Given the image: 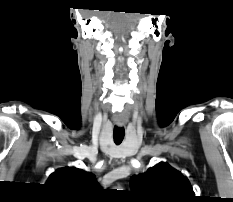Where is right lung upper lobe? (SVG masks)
<instances>
[{
	"label": "right lung upper lobe",
	"instance_id": "cb5924a9",
	"mask_svg": "<svg viewBox=\"0 0 233 202\" xmlns=\"http://www.w3.org/2000/svg\"><path fill=\"white\" fill-rule=\"evenodd\" d=\"M46 184L61 192L78 194L98 188L95 175L74 167L56 170L49 176Z\"/></svg>",
	"mask_w": 233,
	"mask_h": 202
}]
</instances>
